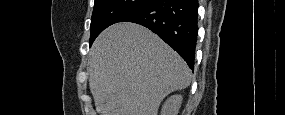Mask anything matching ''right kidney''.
Masks as SVG:
<instances>
[{"mask_svg":"<svg viewBox=\"0 0 285 115\" xmlns=\"http://www.w3.org/2000/svg\"><path fill=\"white\" fill-rule=\"evenodd\" d=\"M181 104V95L170 96L162 106L161 115H177Z\"/></svg>","mask_w":285,"mask_h":115,"instance_id":"1","label":"right kidney"}]
</instances>
